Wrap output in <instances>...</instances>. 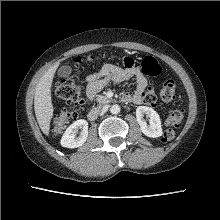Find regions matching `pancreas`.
Here are the masks:
<instances>
[{
	"label": "pancreas",
	"instance_id": "pancreas-1",
	"mask_svg": "<svg viewBox=\"0 0 220 220\" xmlns=\"http://www.w3.org/2000/svg\"><path fill=\"white\" fill-rule=\"evenodd\" d=\"M97 101L100 104H106V103H109L111 100L109 98H107L106 96L99 95L97 98Z\"/></svg>",
	"mask_w": 220,
	"mask_h": 220
}]
</instances>
